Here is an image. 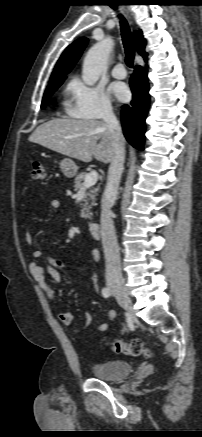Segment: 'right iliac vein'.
<instances>
[{
  "label": "right iliac vein",
  "instance_id": "1",
  "mask_svg": "<svg viewBox=\"0 0 202 437\" xmlns=\"http://www.w3.org/2000/svg\"><path fill=\"white\" fill-rule=\"evenodd\" d=\"M109 288L117 298L119 304L131 313L132 302L125 288L121 285L114 283H109Z\"/></svg>",
  "mask_w": 202,
  "mask_h": 437
}]
</instances>
